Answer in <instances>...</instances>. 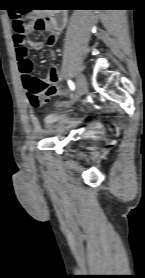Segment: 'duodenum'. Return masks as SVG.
Returning a JSON list of instances; mask_svg holds the SVG:
<instances>
[{
  "mask_svg": "<svg viewBox=\"0 0 145 278\" xmlns=\"http://www.w3.org/2000/svg\"><path fill=\"white\" fill-rule=\"evenodd\" d=\"M49 28L60 31L66 27L68 22V15L65 11L53 12L48 19Z\"/></svg>",
  "mask_w": 145,
  "mask_h": 278,
  "instance_id": "1",
  "label": "duodenum"
}]
</instances>
